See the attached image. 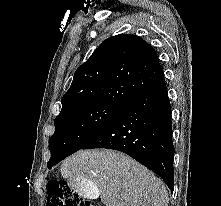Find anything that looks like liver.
Returning a JSON list of instances; mask_svg holds the SVG:
<instances>
[{
	"label": "liver",
	"instance_id": "1",
	"mask_svg": "<svg viewBox=\"0 0 221 206\" xmlns=\"http://www.w3.org/2000/svg\"><path fill=\"white\" fill-rule=\"evenodd\" d=\"M63 178L90 183L105 206H168L163 181L129 156L113 150L79 151L61 165Z\"/></svg>",
	"mask_w": 221,
	"mask_h": 206
}]
</instances>
